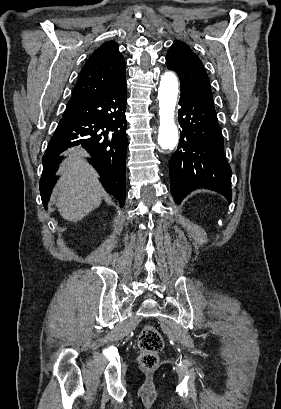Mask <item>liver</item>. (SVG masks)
Returning <instances> with one entry per match:
<instances>
[{
    "mask_svg": "<svg viewBox=\"0 0 281 409\" xmlns=\"http://www.w3.org/2000/svg\"><path fill=\"white\" fill-rule=\"evenodd\" d=\"M81 156H85L81 150H71L59 168L61 176L53 188L61 217L72 223L100 207L104 194L97 170Z\"/></svg>",
    "mask_w": 281,
    "mask_h": 409,
    "instance_id": "6515ba94",
    "label": "liver"
}]
</instances>
